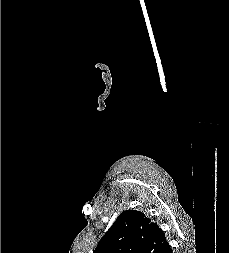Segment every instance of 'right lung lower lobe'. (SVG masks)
<instances>
[{
    "label": "right lung lower lobe",
    "instance_id": "right-lung-lower-lobe-1",
    "mask_svg": "<svg viewBox=\"0 0 229 253\" xmlns=\"http://www.w3.org/2000/svg\"><path fill=\"white\" fill-rule=\"evenodd\" d=\"M164 253H172L171 247L169 246Z\"/></svg>",
    "mask_w": 229,
    "mask_h": 253
}]
</instances>
